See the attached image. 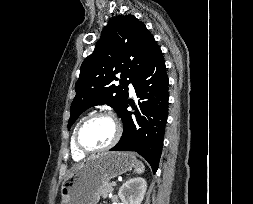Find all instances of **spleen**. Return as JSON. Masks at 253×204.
Masks as SVG:
<instances>
[{"label":"spleen","mask_w":253,"mask_h":204,"mask_svg":"<svg viewBox=\"0 0 253 204\" xmlns=\"http://www.w3.org/2000/svg\"><path fill=\"white\" fill-rule=\"evenodd\" d=\"M145 171V166L141 161L136 160L134 166V172L137 174H142Z\"/></svg>","instance_id":"obj_1"}]
</instances>
